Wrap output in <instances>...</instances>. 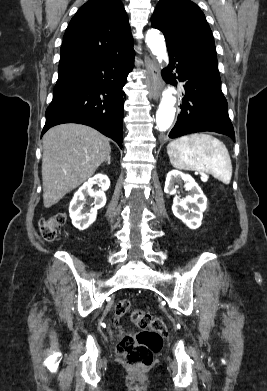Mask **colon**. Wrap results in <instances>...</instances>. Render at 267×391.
I'll return each mask as SVG.
<instances>
[{"label": "colon", "instance_id": "5ec220e1", "mask_svg": "<svg viewBox=\"0 0 267 391\" xmlns=\"http://www.w3.org/2000/svg\"><path fill=\"white\" fill-rule=\"evenodd\" d=\"M65 221V216L60 213L41 219L39 230L42 238L48 242L54 241ZM126 315L130 316L139 332L124 335L117 344V353L128 367L146 368L152 364L154 355L163 346L164 337L168 334L167 324L162 317L151 315L141 309H131L128 300H121L116 305L115 318L119 320Z\"/></svg>", "mask_w": 267, "mask_h": 391}]
</instances>
